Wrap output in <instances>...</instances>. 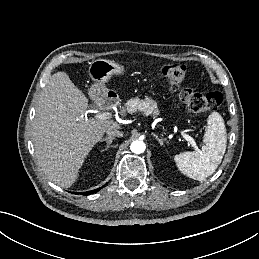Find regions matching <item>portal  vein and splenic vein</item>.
<instances>
[{"instance_id": "portal-vein-and-splenic-vein-1", "label": "portal vein and splenic vein", "mask_w": 259, "mask_h": 259, "mask_svg": "<svg viewBox=\"0 0 259 259\" xmlns=\"http://www.w3.org/2000/svg\"><path fill=\"white\" fill-rule=\"evenodd\" d=\"M110 117H111V114H110L109 112H100V113H98V114L95 116L96 119H101V120L109 119ZM183 137H184L187 141H189L192 146H196V143H195L194 139H193L191 136H189V135H187V134H183Z\"/></svg>"}]
</instances>
